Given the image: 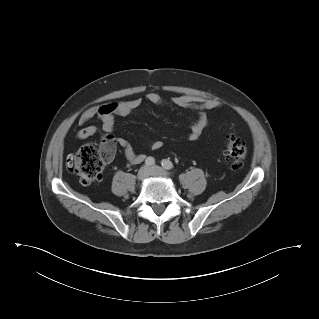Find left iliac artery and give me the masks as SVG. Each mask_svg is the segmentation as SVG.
<instances>
[{"label": "left iliac artery", "instance_id": "1", "mask_svg": "<svg viewBox=\"0 0 319 319\" xmlns=\"http://www.w3.org/2000/svg\"><path fill=\"white\" fill-rule=\"evenodd\" d=\"M161 164H162V166H163V168H165V169H167V170H170V169H172L173 168V164H172V162L171 161H169V160H163L162 162H161Z\"/></svg>", "mask_w": 319, "mask_h": 319}]
</instances>
